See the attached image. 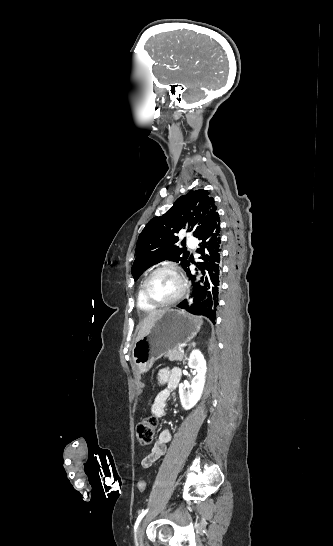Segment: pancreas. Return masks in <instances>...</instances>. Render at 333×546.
Returning a JSON list of instances; mask_svg holds the SVG:
<instances>
[{"instance_id": "obj_1", "label": "pancreas", "mask_w": 333, "mask_h": 546, "mask_svg": "<svg viewBox=\"0 0 333 546\" xmlns=\"http://www.w3.org/2000/svg\"><path fill=\"white\" fill-rule=\"evenodd\" d=\"M165 357H167L170 361H179V362H181L183 360L184 354L180 352V349H174V350L166 353Z\"/></svg>"}]
</instances>
